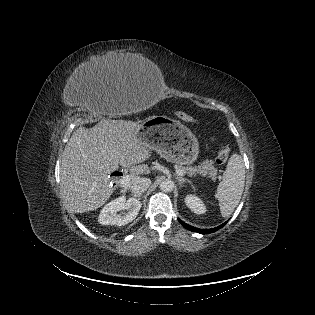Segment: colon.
<instances>
[{
    "instance_id": "5ec220e1",
    "label": "colon",
    "mask_w": 315,
    "mask_h": 315,
    "mask_svg": "<svg viewBox=\"0 0 315 315\" xmlns=\"http://www.w3.org/2000/svg\"><path fill=\"white\" fill-rule=\"evenodd\" d=\"M177 115L181 120L185 122H194V118L186 112L180 111L177 113ZM229 154H230L229 146H222L218 150L217 155L215 157L216 163L219 165L225 164L229 158Z\"/></svg>"
}]
</instances>
